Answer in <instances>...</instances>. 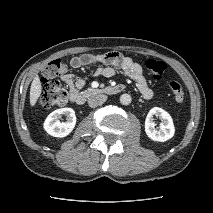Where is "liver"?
Wrapping results in <instances>:
<instances>
[{
  "label": "liver",
  "mask_w": 213,
  "mask_h": 213,
  "mask_svg": "<svg viewBox=\"0 0 213 213\" xmlns=\"http://www.w3.org/2000/svg\"><path fill=\"white\" fill-rule=\"evenodd\" d=\"M42 92V86L39 79V76H36L32 81L31 88H30V105L34 106L40 97Z\"/></svg>",
  "instance_id": "1"
}]
</instances>
